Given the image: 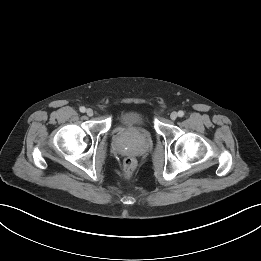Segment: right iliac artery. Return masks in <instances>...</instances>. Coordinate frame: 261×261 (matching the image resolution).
Returning <instances> with one entry per match:
<instances>
[{
  "instance_id": "1",
  "label": "right iliac artery",
  "mask_w": 261,
  "mask_h": 261,
  "mask_svg": "<svg viewBox=\"0 0 261 261\" xmlns=\"http://www.w3.org/2000/svg\"><path fill=\"white\" fill-rule=\"evenodd\" d=\"M86 111V108L84 106L80 107V112L84 113Z\"/></svg>"
}]
</instances>
